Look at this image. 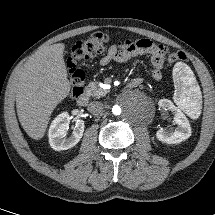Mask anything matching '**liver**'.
<instances>
[{"instance_id": "1", "label": "liver", "mask_w": 215, "mask_h": 215, "mask_svg": "<svg viewBox=\"0 0 215 215\" xmlns=\"http://www.w3.org/2000/svg\"><path fill=\"white\" fill-rule=\"evenodd\" d=\"M63 43L40 48L13 80L19 121L31 138H43L56 106L70 93Z\"/></svg>"}]
</instances>
